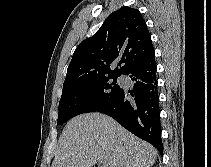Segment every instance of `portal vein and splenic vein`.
I'll return each instance as SVG.
<instances>
[{
    "label": "portal vein and splenic vein",
    "instance_id": "portal-vein-and-splenic-vein-1",
    "mask_svg": "<svg viewBox=\"0 0 211 167\" xmlns=\"http://www.w3.org/2000/svg\"><path fill=\"white\" fill-rule=\"evenodd\" d=\"M100 164L101 167H108V163L106 161H101Z\"/></svg>",
    "mask_w": 211,
    "mask_h": 167
}]
</instances>
